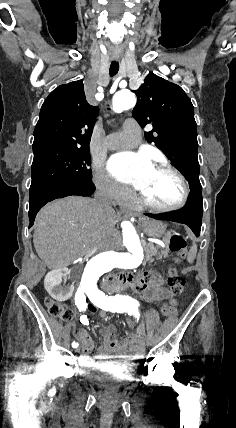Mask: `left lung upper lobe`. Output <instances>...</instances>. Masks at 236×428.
<instances>
[{"label": "left lung upper lobe", "mask_w": 236, "mask_h": 428, "mask_svg": "<svg viewBox=\"0 0 236 428\" xmlns=\"http://www.w3.org/2000/svg\"><path fill=\"white\" fill-rule=\"evenodd\" d=\"M132 116L142 127L148 142L168 157L172 165L188 180L190 190H201L197 158V129L191 100L181 87L149 73L137 91Z\"/></svg>", "instance_id": "5c2ea615"}]
</instances>
